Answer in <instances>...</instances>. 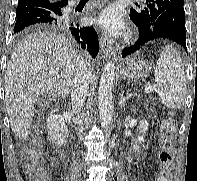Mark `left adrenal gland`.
Segmentation results:
<instances>
[{
	"instance_id": "obj_1",
	"label": "left adrenal gland",
	"mask_w": 197,
	"mask_h": 181,
	"mask_svg": "<svg viewBox=\"0 0 197 181\" xmlns=\"http://www.w3.org/2000/svg\"><path fill=\"white\" fill-rule=\"evenodd\" d=\"M126 100H127V97L124 96V91L121 89L120 99H119V106L121 109L124 107Z\"/></svg>"
}]
</instances>
